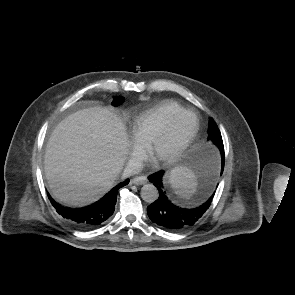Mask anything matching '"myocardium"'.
Returning <instances> with one entry per match:
<instances>
[{
  "instance_id": "f54148a6",
  "label": "myocardium",
  "mask_w": 295,
  "mask_h": 295,
  "mask_svg": "<svg viewBox=\"0 0 295 295\" xmlns=\"http://www.w3.org/2000/svg\"><path fill=\"white\" fill-rule=\"evenodd\" d=\"M188 118L190 126L178 144L167 152H163L165 142L171 137L178 124ZM199 124L196 115L188 110L177 114L152 140L148 148L149 159L158 165L171 164L179 160L187 151L198 132Z\"/></svg>"
}]
</instances>
